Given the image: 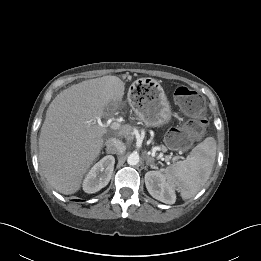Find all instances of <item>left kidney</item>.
<instances>
[{
  "label": "left kidney",
  "mask_w": 261,
  "mask_h": 261,
  "mask_svg": "<svg viewBox=\"0 0 261 261\" xmlns=\"http://www.w3.org/2000/svg\"><path fill=\"white\" fill-rule=\"evenodd\" d=\"M145 184L149 194L166 204H174L176 194L173 187L160 171H149L145 174Z\"/></svg>",
  "instance_id": "obj_1"
}]
</instances>
